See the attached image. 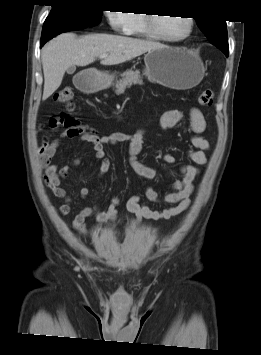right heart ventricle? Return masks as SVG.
I'll return each mask as SVG.
<instances>
[{
    "mask_svg": "<svg viewBox=\"0 0 261 355\" xmlns=\"http://www.w3.org/2000/svg\"><path fill=\"white\" fill-rule=\"evenodd\" d=\"M145 13L135 12L132 14V23L128 35L150 38L145 26Z\"/></svg>",
    "mask_w": 261,
    "mask_h": 355,
    "instance_id": "right-heart-ventricle-1",
    "label": "right heart ventricle"
}]
</instances>
